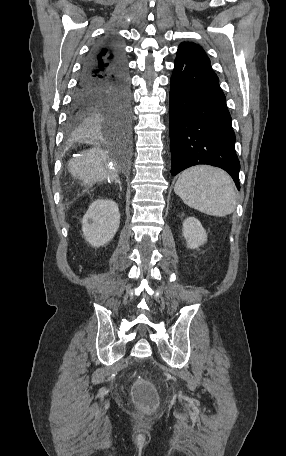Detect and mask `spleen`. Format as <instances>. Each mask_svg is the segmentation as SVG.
Masks as SVG:
<instances>
[{"instance_id": "3e777b00", "label": "spleen", "mask_w": 286, "mask_h": 456, "mask_svg": "<svg viewBox=\"0 0 286 456\" xmlns=\"http://www.w3.org/2000/svg\"><path fill=\"white\" fill-rule=\"evenodd\" d=\"M174 191L186 205L207 215L224 217L236 208L234 182L219 168L200 165L186 169Z\"/></svg>"}]
</instances>
